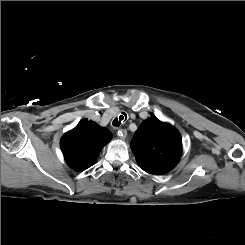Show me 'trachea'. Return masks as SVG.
Masks as SVG:
<instances>
[{
    "instance_id": "trachea-1",
    "label": "trachea",
    "mask_w": 245,
    "mask_h": 245,
    "mask_svg": "<svg viewBox=\"0 0 245 245\" xmlns=\"http://www.w3.org/2000/svg\"><path fill=\"white\" fill-rule=\"evenodd\" d=\"M127 120V114L125 112H122L119 117H116L113 120V126L115 127H119L123 122H125Z\"/></svg>"
}]
</instances>
